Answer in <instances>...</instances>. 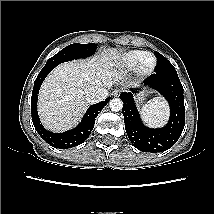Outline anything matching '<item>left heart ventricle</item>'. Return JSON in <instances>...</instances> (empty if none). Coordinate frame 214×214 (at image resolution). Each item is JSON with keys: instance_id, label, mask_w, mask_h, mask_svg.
Returning a JSON list of instances; mask_svg holds the SVG:
<instances>
[{"instance_id": "obj_1", "label": "left heart ventricle", "mask_w": 214, "mask_h": 214, "mask_svg": "<svg viewBox=\"0 0 214 214\" xmlns=\"http://www.w3.org/2000/svg\"><path fill=\"white\" fill-rule=\"evenodd\" d=\"M152 58L151 57H147L144 61V66L145 67H149L152 64Z\"/></svg>"}]
</instances>
